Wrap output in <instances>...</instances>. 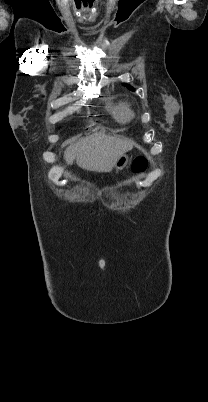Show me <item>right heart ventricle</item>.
Here are the masks:
<instances>
[{
  "instance_id": "obj_1",
  "label": "right heart ventricle",
  "mask_w": 208,
  "mask_h": 402,
  "mask_svg": "<svg viewBox=\"0 0 208 402\" xmlns=\"http://www.w3.org/2000/svg\"><path fill=\"white\" fill-rule=\"evenodd\" d=\"M106 108L112 118L120 124H127L133 119L132 111L122 101L109 100Z\"/></svg>"
}]
</instances>
